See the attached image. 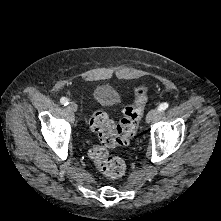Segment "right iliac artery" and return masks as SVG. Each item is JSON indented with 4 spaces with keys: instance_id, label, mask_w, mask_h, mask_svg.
<instances>
[{
    "instance_id": "obj_1",
    "label": "right iliac artery",
    "mask_w": 221,
    "mask_h": 221,
    "mask_svg": "<svg viewBox=\"0 0 221 221\" xmlns=\"http://www.w3.org/2000/svg\"><path fill=\"white\" fill-rule=\"evenodd\" d=\"M60 102H61V104L64 105V106H66V105L69 104L68 99L65 98V97H62V98L60 99Z\"/></svg>"
}]
</instances>
